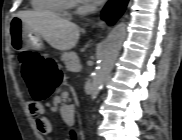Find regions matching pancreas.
I'll return each instance as SVG.
<instances>
[{
	"label": "pancreas",
	"instance_id": "pancreas-1",
	"mask_svg": "<svg viewBox=\"0 0 182 140\" xmlns=\"http://www.w3.org/2000/svg\"><path fill=\"white\" fill-rule=\"evenodd\" d=\"M62 61H64L68 71H75L78 65V56L75 52L65 53L62 56Z\"/></svg>",
	"mask_w": 182,
	"mask_h": 140
}]
</instances>
